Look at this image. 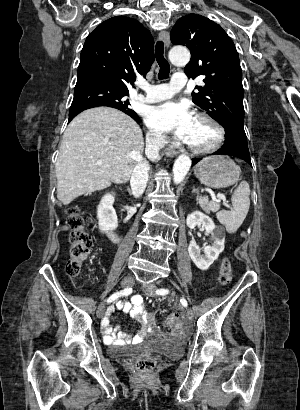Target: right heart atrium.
<instances>
[{"label": "right heart atrium", "instance_id": "d8ad5b80", "mask_svg": "<svg viewBox=\"0 0 300 410\" xmlns=\"http://www.w3.org/2000/svg\"><path fill=\"white\" fill-rule=\"evenodd\" d=\"M147 143L151 150H159L167 144L165 137L153 130L147 133Z\"/></svg>", "mask_w": 300, "mask_h": 410}]
</instances>
